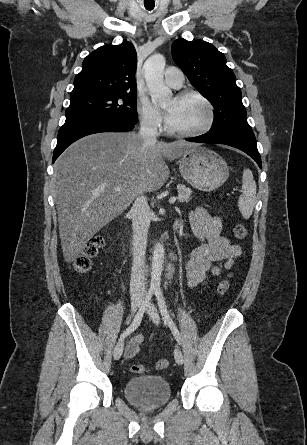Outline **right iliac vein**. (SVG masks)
I'll return each instance as SVG.
<instances>
[{"instance_id": "63e3f726", "label": "right iliac vein", "mask_w": 307, "mask_h": 445, "mask_svg": "<svg viewBox=\"0 0 307 445\" xmlns=\"http://www.w3.org/2000/svg\"><path fill=\"white\" fill-rule=\"evenodd\" d=\"M142 300L139 298H135L131 302V309L132 312L135 313L137 309L140 307ZM124 348V338L120 339L119 342L116 344L114 351H113V357L115 360H118L122 353Z\"/></svg>"}]
</instances>
